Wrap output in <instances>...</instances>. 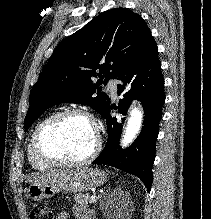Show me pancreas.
I'll return each mask as SVG.
<instances>
[{
  "label": "pancreas",
  "mask_w": 211,
  "mask_h": 219,
  "mask_svg": "<svg viewBox=\"0 0 211 219\" xmlns=\"http://www.w3.org/2000/svg\"><path fill=\"white\" fill-rule=\"evenodd\" d=\"M77 206L85 207L91 202L89 194H76L74 196Z\"/></svg>",
  "instance_id": "cf45deb5"
}]
</instances>
